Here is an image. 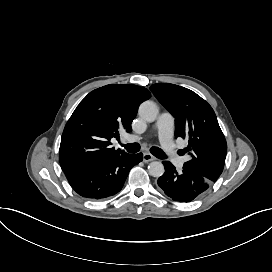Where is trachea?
Here are the masks:
<instances>
[{"label": "trachea", "mask_w": 272, "mask_h": 272, "mask_svg": "<svg viewBox=\"0 0 272 272\" xmlns=\"http://www.w3.org/2000/svg\"><path fill=\"white\" fill-rule=\"evenodd\" d=\"M126 148V150L130 153H136L139 151L140 149V146L139 144L137 143H129V144H126L124 146ZM150 152L156 156L157 158L159 159H165L167 158V155L163 152V150H161L160 148H157V147H152L150 149Z\"/></svg>", "instance_id": "1"}]
</instances>
